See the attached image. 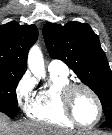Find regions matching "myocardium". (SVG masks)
Here are the masks:
<instances>
[{
	"mask_svg": "<svg viewBox=\"0 0 112 135\" xmlns=\"http://www.w3.org/2000/svg\"><path fill=\"white\" fill-rule=\"evenodd\" d=\"M77 89L86 90L95 100L98 108V115L96 119L90 124L81 123L74 114L72 107V96ZM60 101L66 116L78 127L91 128L97 125L103 116V105L98 94L88 85L84 83H70L65 86L60 92Z\"/></svg>",
	"mask_w": 112,
	"mask_h": 135,
	"instance_id": "myocardium-1",
	"label": "myocardium"
}]
</instances>
